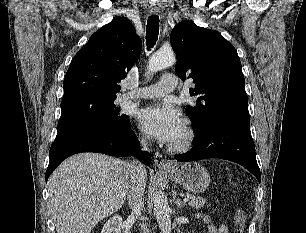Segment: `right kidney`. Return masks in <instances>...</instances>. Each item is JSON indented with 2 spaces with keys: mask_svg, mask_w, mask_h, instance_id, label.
<instances>
[{
  "mask_svg": "<svg viewBox=\"0 0 306 233\" xmlns=\"http://www.w3.org/2000/svg\"><path fill=\"white\" fill-rule=\"evenodd\" d=\"M121 226L122 218L115 215L104 224L101 233H121Z\"/></svg>",
  "mask_w": 306,
  "mask_h": 233,
  "instance_id": "obj_1",
  "label": "right kidney"
}]
</instances>
